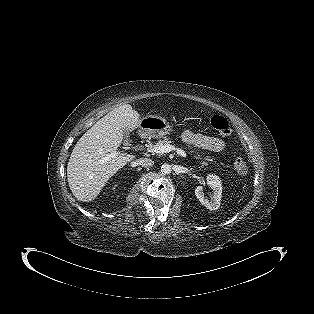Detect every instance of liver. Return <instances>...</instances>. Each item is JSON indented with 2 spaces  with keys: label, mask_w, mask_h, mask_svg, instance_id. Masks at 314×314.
Segmentation results:
<instances>
[{
  "label": "liver",
  "mask_w": 314,
  "mask_h": 314,
  "mask_svg": "<svg viewBox=\"0 0 314 314\" xmlns=\"http://www.w3.org/2000/svg\"><path fill=\"white\" fill-rule=\"evenodd\" d=\"M140 115L129 104H123L98 120L76 143L67 165V179L75 198L91 202L107 181L134 155L117 152L124 131L139 127ZM115 154L105 161L104 158Z\"/></svg>",
  "instance_id": "6515ba94"
}]
</instances>
